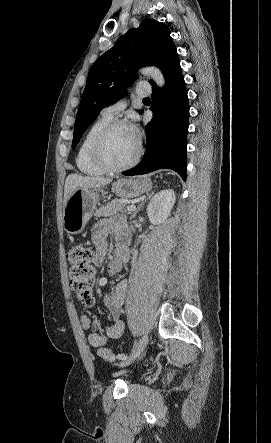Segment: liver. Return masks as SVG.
I'll use <instances>...</instances> for the list:
<instances>
[{
	"mask_svg": "<svg viewBox=\"0 0 271 443\" xmlns=\"http://www.w3.org/2000/svg\"><path fill=\"white\" fill-rule=\"evenodd\" d=\"M110 182H112L110 178H84V176L70 174V176H67L64 184L63 206H66L69 196L73 194L76 188H102V186H107Z\"/></svg>",
	"mask_w": 271,
	"mask_h": 443,
	"instance_id": "1",
	"label": "liver"
}]
</instances>
